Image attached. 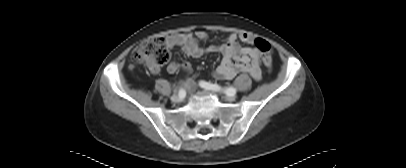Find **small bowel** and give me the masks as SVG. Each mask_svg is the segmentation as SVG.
Wrapping results in <instances>:
<instances>
[{
    "mask_svg": "<svg viewBox=\"0 0 406 168\" xmlns=\"http://www.w3.org/2000/svg\"><path fill=\"white\" fill-rule=\"evenodd\" d=\"M207 38L206 32L197 31L195 34L181 33L170 35L166 38V43L168 48L180 47L187 56L194 58L201 57L205 52L220 53L222 55L221 63L213 72V76L216 79L231 80L239 73H247L256 81L262 78L260 52L255 48L240 45V41L252 44L254 42L252 35L242 34L237 36L232 34L224 42L204 49L200 46V41H204ZM149 70L151 73L157 74L160 68L157 65H153L149 66ZM167 70L169 73H176L180 70L190 73L191 66L189 63L179 64L171 62ZM181 84L188 91L195 89V80L192 76H188Z\"/></svg>",
    "mask_w": 406,
    "mask_h": 168,
    "instance_id": "small-bowel-1",
    "label": "small bowel"
}]
</instances>
